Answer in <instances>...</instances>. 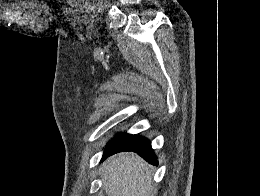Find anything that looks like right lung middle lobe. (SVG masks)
Returning a JSON list of instances; mask_svg holds the SVG:
<instances>
[{
	"mask_svg": "<svg viewBox=\"0 0 260 196\" xmlns=\"http://www.w3.org/2000/svg\"><path fill=\"white\" fill-rule=\"evenodd\" d=\"M132 136L134 135H130V134H119L118 136H116L115 138H113L107 145L106 149L109 148H113V147H117L121 144H123L124 142H126L128 139H130Z\"/></svg>",
	"mask_w": 260,
	"mask_h": 196,
	"instance_id": "dd1d6c3e",
	"label": "right lung middle lobe"
}]
</instances>
